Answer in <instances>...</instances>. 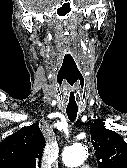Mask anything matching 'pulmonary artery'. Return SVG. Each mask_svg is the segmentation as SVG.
Wrapping results in <instances>:
<instances>
[{
  "instance_id": "pulmonary-artery-1",
  "label": "pulmonary artery",
  "mask_w": 127,
  "mask_h": 168,
  "mask_svg": "<svg viewBox=\"0 0 127 168\" xmlns=\"http://www.w3.org/2000/svg\"><path fill=\"white\" fill-rule=\"evenodd\" d=\"M79 168H90V166H88V165H82V166L79 167Z\"/></svg>"
}]
</instances>
